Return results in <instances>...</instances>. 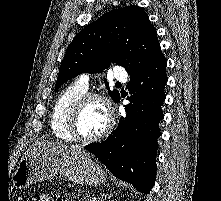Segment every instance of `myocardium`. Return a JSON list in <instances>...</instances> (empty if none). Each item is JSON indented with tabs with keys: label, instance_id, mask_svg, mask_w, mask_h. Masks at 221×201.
Listing matches in <instances>:
<instances>
[{
	"label": "myocardium",
	"instance_id": "1",
	"mask_svg": "<svg viewBox=\"0 0 221 201\" xmlns=\"http://www.w3.org/2000/svg\"><path fill=\"white\" fill-rule=\"evenodd\" d=\"M93 100L100 101L104 104L107 112L108 121L104 130H102L99 134L91 137H85L82 136L78 131V121L84 107L87 105V103ZM114 123V108L110 99L107 96L97 92H86L76 101L70 111L68 119V131L74 140L82 143H92L101 140L102 138L107 136L109 132L113 129Z\"/></svg>",
	"mask_w": 221,
	"mask_h": 201
}]
</instances>
